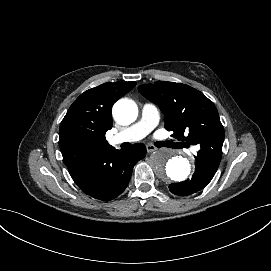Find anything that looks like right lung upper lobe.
<instances>
[{
	"label": "right lung upper lobe",
	"instance_id": "obj_1",
	"mask_svg": "<svg viewBox=\"0 0 271 271\" xmlns=\"http://www.w3.org/2000/svg\"><path fill=\"white\" fill-rule=\"evenodd\" d=\"M136 82H108L82 93L70 106L59 128V147L70 171L109 147L105 133L112 128V105Z\"/></svg>",
	"mask_w": 271,
	"mask_h": 271
}]
</instances>
